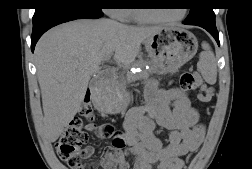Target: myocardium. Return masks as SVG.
<instances>
[{
	"mask_svg": "<svg viewBox=\"0 0 252 169\" xmlns=\"http://www.w3.org/2000/svg\"><path fill=\"white\" fill-rule=\"evenodd\" d=\"M134 15L136 19L140 22L144 23H174L179 22L184 19L186 10H182L181 13L174 18H152L147 16L143 10L141 9H134Z\"/></svg>",
	"mask_w": 252,
	"mask_h": 169,
	"instance_id": "obj_1",
	"label": "myocardium"
}]
</instances>
